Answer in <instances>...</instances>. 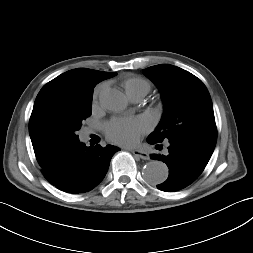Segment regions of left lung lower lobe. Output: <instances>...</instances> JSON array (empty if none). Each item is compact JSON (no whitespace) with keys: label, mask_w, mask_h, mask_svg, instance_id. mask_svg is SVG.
<instances>
[{"label":"left lung lower lobe","mask_w":253,"mask_h":253,"mask_svg":"<svg viewBox=\"0 0 253 253\" xmlns=\"http://www.w3.org/2000/svg\"><path fill=\"white\" fill-rule=\"evenodd\" d=\"M147 142L159 143L149 138ZM169 143L168 155L152 154L151 158L165 162L169 168L167 180L157 185V188L174 192L187 187L198 178L210 160L216 144L187 138L169 140Z\"/></svg>","instance_id":"0a47b994"}]
</instances>
